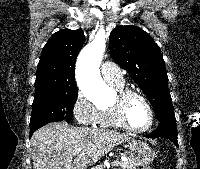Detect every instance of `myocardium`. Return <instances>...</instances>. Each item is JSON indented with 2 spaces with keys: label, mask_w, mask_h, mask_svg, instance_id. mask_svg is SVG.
I'll return each mask as SVG.
<instances>
[{
  "label": "myocardium",
  "mask_w": 200,
  "mask_h": 169,
  "mask_svg": "<svg viewBox=\"0 0 200 169\" xmlns=\"http://www.w3.org/2000/svg\"><path fill=\"white\" fill-rule=\"evenodd\" d=\"M133 97H138L141 100L144 101V103L146 104V106L148 107L149 113H150V121L148 123L147 126L143 127V128H135L133 127L128 120V116H127V105L128 102L131 98ZM115 110H116V114L118 117V120L120 121V123L123 125V127L131 132H135V133H142V132H146L148 131L154 124V120H155V113H154V109L153 106L150 102V100L140 91L137 90H133V89H128L125 88L123 90L118 91L117 93V97L113 103Z\"/></svg>",
  "instance_id": "1"
}]
</instances>
